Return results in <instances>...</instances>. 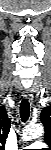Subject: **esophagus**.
Wrapping results in <instances>:
<instances>
[{"mask_svg":"<svg viewBox=\"0 0 51 150\" xmlns=\"http://www.w3.org/2000/svg\"><path fill=\"white\" fill-rule=\"evenodd\" d=\"M23 97L28 99L30 103L33 102V94H32V91L29 90V89H25L23 91Z\"/></svg>","mask_w":51,"mask_h":150,"instance_id":"esophagus-1","label":"esophagus"}]
</instances>
